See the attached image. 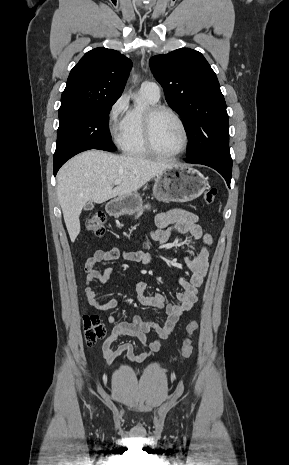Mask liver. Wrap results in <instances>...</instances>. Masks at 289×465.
<instances>
[{
  "label": "liver",
  "mask_w": 289,
  "mask_h": 465,
  "mask_svg": "<svg viewBox=\"0 0 289 465\" xmlns=\"http://www.w3.org/2000/svg\"><path fill=\"white\" fill-rule=\"evenodd\" d=\"M173 164L143 157L83 152L65 163L57 174V197L70 239L80 233L79 216L88 201L101 204L136 192ZM115 180L122 182L113 188Z\"/></svg>",
  "instance_id": "1"
}]
</instances>
